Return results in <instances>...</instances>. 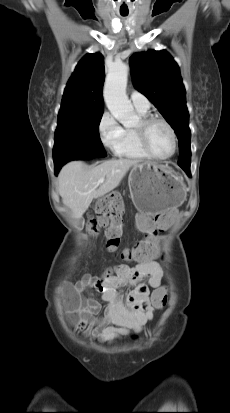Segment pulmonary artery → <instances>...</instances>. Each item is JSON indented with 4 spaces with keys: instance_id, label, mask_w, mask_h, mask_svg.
<instances>
[{
    "instance_id": "obj_1",
    "label": "pulmonary artery",
    "mask_w": 230,
    "mask_h": 413,
    "mask_svg": "<svg viewBox=\"0 0 230 413\" xmlns=\"http://www.w3.org/2000/svg\"><path fill=\"white\" fill-rule=\"evenodd\" d=\"M130 99L133 106L138 110L147 111L150 107L149 100L138 91H132L130 93Z\"/></svg>"
}]
</instances>
